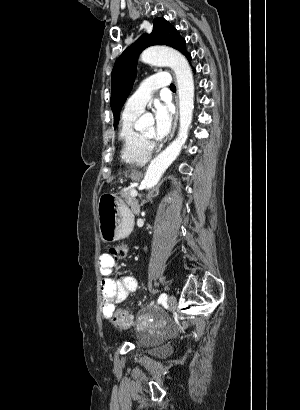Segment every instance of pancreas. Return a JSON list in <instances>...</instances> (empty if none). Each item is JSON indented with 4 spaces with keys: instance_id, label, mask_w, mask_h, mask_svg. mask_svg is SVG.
<instances>
[{
    "instance_id": "cf45deb5",
    "label": "pancreas",
    "mask_w": 300,
    "mask_h": 410,
    "mask_svg": "<svg viewBox=\"0 0 300 410\" xmlns=\"http://www.w3.org/2000/svg\"><path fill=\"white\" fill-rule=\"evenodd\" d=\"M131 190H133V189L127 190L122 195V197L125 199L126 204L131 207V210H132L133 214L138 215L139 212H140V208H139L138 202L135 199V197H132L130 195Z\"/></svg>"
}]
</instances>
